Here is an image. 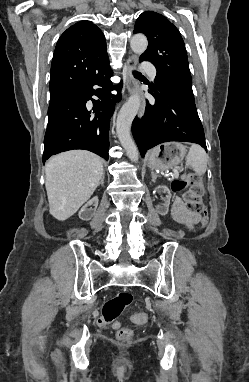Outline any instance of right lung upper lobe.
<instances>
[{
  "instance_id": "1",
  "label": "right lung upper lobe",
  "mask_w": 249,
  "mask_h": 382,
  "mask_svg": "<svg viewBox=\"0 0 249 382\" xmlns=\"http://www.w3.org/2000/svg\"><path fill=\"white\" fill-rule=\"evenodd\" d=\"M108 58L105 37L90 21L69 27L58 39L51 64L50 103L87 80Z\"/></svg>"
}]
</instances>
